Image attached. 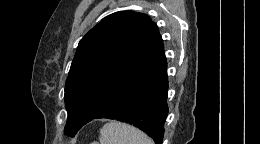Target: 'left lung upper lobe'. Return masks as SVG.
<instances>
[{
	"instance_id": "1",
	"label": "left lung upper lobe",
	"mask_w": 260,
	"mask_h": 144,
	"mask_svg": "<svg viewBox=\"0 0 260 144\" xmlns=\"http://www.w3.org/2000/svg\"><path fill=\"white\" fill-rule=\"evenodd\" d=\"M163 51L158 27L146 14L119 11L103 18L80 40L72 61L65 85L64 133L74 136L134 70ZM157 66L168 80L166 58H159Z\"/></svg>"
}]
</instances>
